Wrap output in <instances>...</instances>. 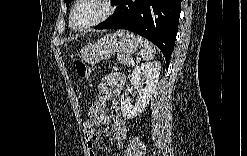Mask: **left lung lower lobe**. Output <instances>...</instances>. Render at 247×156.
Returning <instances> with one entry per match:
<instances>
[{
	"instance_id": "obj_1",
	"label": "left lung lower lobe",
	"mask_w": 247,
	"mask_h": 156,
	"mask_svg": "<svg viewBox=\"0 0 247 156\" xmlns=\"http://www.w3.org/2000/svg\"><path fill=\"white\" fill-rule=\"evenodd\" d=\"M114 14L96 29L119 28L153 42L169 64L175 46L181 0H119Z\"/></svg>"
}]
</instances>
